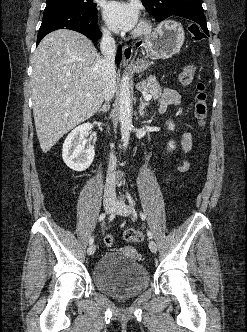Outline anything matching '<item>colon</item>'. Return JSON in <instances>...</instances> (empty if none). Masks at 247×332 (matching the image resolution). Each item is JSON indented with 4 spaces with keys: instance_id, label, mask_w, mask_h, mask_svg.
<instances>
[{
    "instance_id": "obj_1",
    "label": "colon",
    "mask_w": 247,
    "mask_h": 332,
    "mask_svg": "<svg viewBox=\"0 0 247 332\" xmlns=\"http://www.w3.org/2000/svg\"><path fill=\"white\" fill-rule=\"evenodd\" d=\"M188 31L195 42H201L206 38V33L195 24L188 27ZM194 67L188 66L183 69L180 74V82L182 85H189L194 78ZM196 99L194 103V116L200 125H204L207 117L208 106H207V93L206 86L203 81L199 80L196 84ZM123 238L130 242H141L144 239V235L141 231L136 229H127L123 233ZM104 242L108 247L114 245V238L111 235H107L104 238Z\"/></svg>"
}]
</instances>
